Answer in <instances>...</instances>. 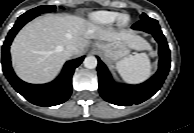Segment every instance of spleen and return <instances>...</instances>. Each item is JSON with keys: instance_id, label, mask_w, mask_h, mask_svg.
Returning a JSON list of instances; mask_svg holds the SVG:
<instances>
[{"instance_id": "spleen-1", "label": "spleen", "mask_w": 194, "mask_h": 133, "mask_svg": "<svg viewBox=\"0 0 194 133\" xmlns=\"http://www.w3.org/2000/svg\"><path fill=\"white\" fill-rule=\"evenodd\" d=\"M116 69L122 79L130 84L141 83L151 75V63L145 53L136 54L118 61Z\"/></svg>"}]
</instances>
